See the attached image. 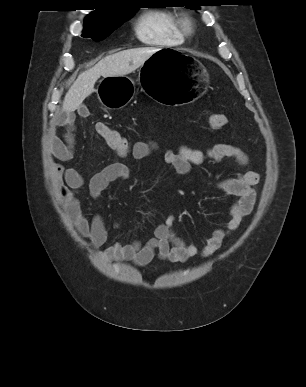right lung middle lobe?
Masks as SVG:
<instances>
[{
    "mask_svg": "<svg viewBox=\"0 0 306 387\" xmlns=\"http://www.w3.org/2000/svg\"><path fill=\"white\" fill-rule=\"evenodd\" d=\"M135 8H129L121 11L117 16L104 22L85 21L82 37L92 38L95 41L103 40L110 35L124 21L130 19L135 11Z\"/></svg>",
    "mask_w": 306,
    "mask_h": 387,
    "instance_id": "dd1d6c3e",
    "label": "right lung middle lobe"
}]
</instances>
